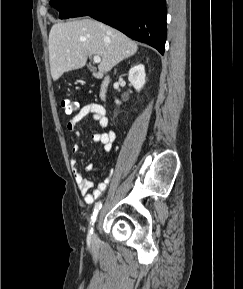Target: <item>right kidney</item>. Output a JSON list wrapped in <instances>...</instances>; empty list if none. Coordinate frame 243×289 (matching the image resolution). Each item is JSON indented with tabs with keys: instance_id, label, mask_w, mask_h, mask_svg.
<instances>
[{
	"instance_id": "right-kidney-1",
	"label": "right kidney",
	"mask_w": 243,
	"mask_h": 289,
	"mask_svg": "<svg viewBox=\"0 0 243 289\" xmlns=\"http://www.w3.org/2000/svg\"><path fill=\"white\" fill-rule=\"evenodd\" d=\"M145 77V67L142 64L136 65L129 70L128 80L138 92L145 84ZM115 102L116 104H120L119 100Z\"/></svg>"
}]
</instances>
